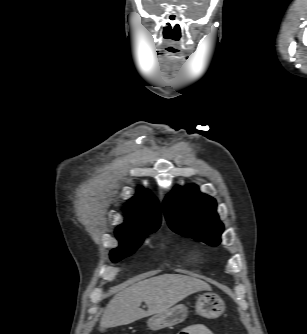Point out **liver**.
<instances>
[{"instance_id":"liver-1","label":"liver","mask_w":307,"mask_h":334,"mask_svg":"<svg viewBox=\"0 0 307 334\" xmlns=\"http://www.w3.org/2000/svg\"><path fill=\"white\" fill-rule=\"evenodd\" d=\"M203 290L210 291V285L180 274H163L140 281L121 290L111 299L100 326L108 328L130 324L161 313L187 296ZM142 302L147 305V311L140 308Z\"/></svg>"}]
</instances>
